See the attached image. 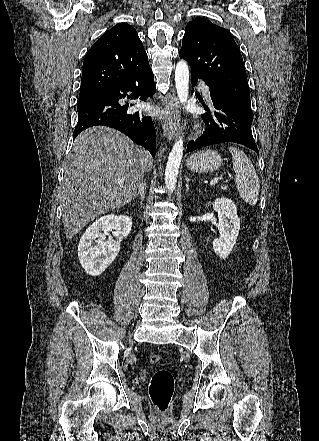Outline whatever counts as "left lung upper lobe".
I'll return each mask as SVG.
<instances>
[{"label": "left lung upper lobe", "instance_id": "obj_1", "mask_svg": "<svg viewBox=\"0 0 319 441\" xmlns=\"http://www.w3.org/2000/svg\"><path fill=\"white\" fill-rule=\"evenodd\" d=\"M179 56L189 63L191 75L252 112L242 55L226 29L204 18L193 19L186 25Z\"/></svg>", "mask_w": 319, "mask_h": 441}]
</instances>
